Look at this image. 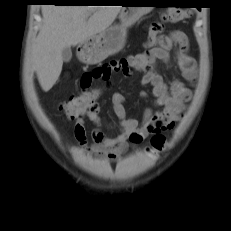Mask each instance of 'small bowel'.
I'll return each instance as SVG.
<instances>
[{
    "label": "small bowel",
    "instance_id": "c3829d8e",
    "mask_svg": "<svg viewBox=\"0 0 231 231\" xmlns=\"http://www.w3.org/2000/svg\"><path fill=\"white\" fill-rule=\"evenodd\" d=\"M161 25L154 24L145 50L127 58L112 60L100 64L85 72L80 80L82 91H88L92 82L101 80L109 82L113 73L130 76L133 71L143 74L141 83L152 86L153 105L159 110L146 108L141 121L127 116L125 97L121 93L112 96V108L119 121V134L107 137L102 130V119L98 104L77 118L74 135L81 146H86L87 136L84 118H88L96 127L91 132L93 145L87 150L101 155L106 161H115L125 152L129 144H138L150 134H160L172 129L180 119L186 103L190 100V90L179 80L168 82L164 79L157 65L159 62L172 63L171 52L176 50L175 62L181 75L192 81L196 74L194 59L188 54L187 36L180 31L169 36L158 37ZM142 96L146 93L142 92Z\"/></svg>",
    "mask_w": 231,
    "mask_h": 231
}]
</instances>
